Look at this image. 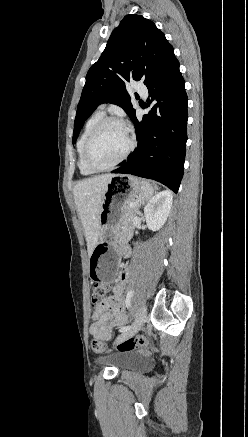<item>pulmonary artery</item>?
I'll return each instance as SVG.
<instances>
[{"label": "pulmonary artery", "instance_id": "1", "mask_svg": "<svg viewBox=\"0 0 248 437\" xmlns=\"http://www.w3.org/2000/svg\"><path fill=\"white\" fill-rule=\"evenodd\" d=\"M135 90H136L140 95H142L143 97H146V96H147V89H146L145 86H143V85H141V84H136V86H135ZM103 108H104V105H101V106L99 107V110L102 111Z\"/></svg>", "mask_w": 248, "mask_h": 437}]
</instances>
